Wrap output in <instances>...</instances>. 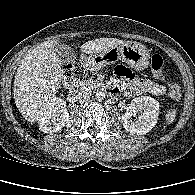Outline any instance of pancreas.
<instances>
[{
    "instance_id": "obj_1",
    "label": "pancreas",
    "mask_w": 195,
    "mask_h": 195,
    "mask_svg": "<svg viewBox=\"0 0 195 195\" xmlns=\"http://www.w3.org/2000/svg\"><path fill=\"white\" fill-rule=\"evenodd\" d=\"M83 84L85 87L90 88V89H96L101 86V83L93 79L85 80Z\"/></svg>"
}]
</instances>
